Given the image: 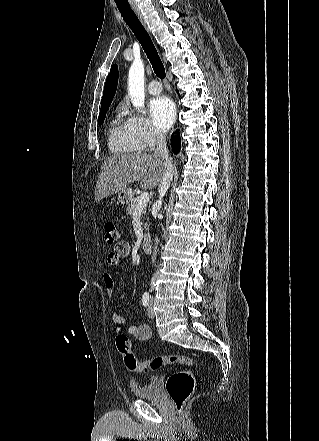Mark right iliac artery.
I'll list each match as a JSON object with an SVG mask.
<instances>
[{
  "instance_id": "obj_1",
  "label": "right iliac artery",
  "mask_w": 319,
  "mask_h": 441,
  "mask_svg": "<svg viewBox=\"0 0 319 441\" xmlns=\"http://www.w3.org/2000/svg\"><path fill=\"white\" fill-rule=\"evenodd\" d=\"M149 303V294L147 292H145L142 296V304L143 306H147Z\"/></svg>"
}]
</instances>
